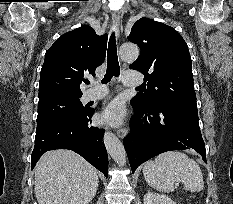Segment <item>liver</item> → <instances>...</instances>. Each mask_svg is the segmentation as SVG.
Instances as JSON below:
<instances>
[{
	"instance_id": "liver-1",
	"label": "liver",
	"mask_w": 233,
	"mask_h": 204,
	"mask_svg": "<svg viewBox=\"0 0 233 204\" xmlns=\"http://www.w3.org/2000/svg\"><path fill=\"white\" fill-rule=\"evenodd\" d=\"M98 183L96 169L70 150L48 151L35 167L38 204H88Z\"/></svg>"
}]
</instances>
